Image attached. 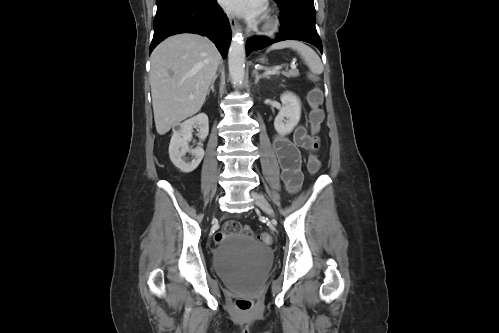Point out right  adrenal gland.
Listing matches in <instances>:
<instances>
[{
	"mask_svg": "<svg viewBox=\"0 0 499 333\" xmlns=\"http://www.w3.org/2000/svg\"><path fill=\"white\" fill-rule=\"evenodd\" d=\"M217 77H218V75L216 74L215 77H214V79L211 82L210 88L207 91V95H209L210 90H212V92H215V90H214V83H215V80L217 79Z\"/></svg>",
	"mask_w": 499,
	"mask_h": 333,
	"instance_id": "2a0ac1e0",
	"label": "right adrenal gland"
}]
</instances>
